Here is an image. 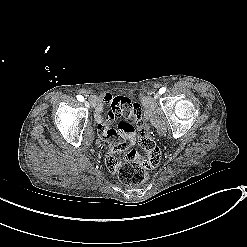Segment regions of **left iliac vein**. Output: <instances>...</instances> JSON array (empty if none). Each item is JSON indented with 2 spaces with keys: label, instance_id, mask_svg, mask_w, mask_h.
I'll return each instance as SVG.
<instances>
[{
  "label": "left iliac vein",
  "instance_id": "1",
  "mask_svg": "<svg viewBox=\"0 0 247 247\" xmlns=\"http://www.w3.org/2000/svg\"><path fill=\"white\" fill-rule=\"evenodd\" d=\"M159 97H160V94H159V93H156V94L154 95L155 100H157Z\"/></svg>",
  "mask_w": 247,
  "mask_h": 247
}]
</instances>
